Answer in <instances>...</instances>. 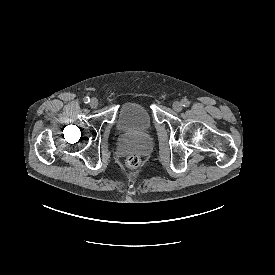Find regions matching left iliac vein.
<instances>
[{
  "label": "left iliac vein",
  "mask_w": 275,
  "mask_h": 275,
  "mask_svg": "<svg viewBox=\"0 0 275 275\" xmlns=\"http://www.w3.org/2000/svg\"><path fill=\"white\" fill-rule=\"evenodd\" d=\"M173 109L176 111V112H180L182 110V105L180 102L178 101H175L172 105Z\"/></svg>",
  "instance_id": "1"
}]
</instances>
